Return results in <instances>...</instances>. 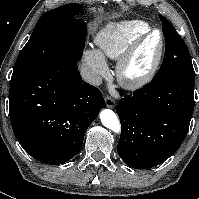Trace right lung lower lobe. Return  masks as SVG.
Masks as SVG:
<instances>
[{"label": "right lung lower lobe", "mask_w": 199, "mask_h": 199, "mask_svg": "<svg viewBox=\"0 0 199 199\" xmlns=\"http://www.w3.org/2000/svg\"><path fill=\"white\" fill-rule=\"evenodd\" d=\"M104 107L101 92L82 81L77 64L62 58L10 83L14 134L29 155L45 164L58 165L74 157Z\"/></svg>", "instance_id": "98d812e1"}]
</instances>
